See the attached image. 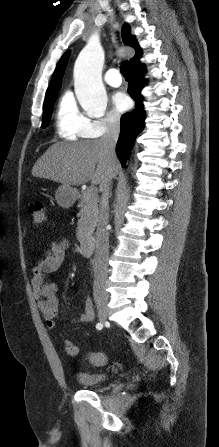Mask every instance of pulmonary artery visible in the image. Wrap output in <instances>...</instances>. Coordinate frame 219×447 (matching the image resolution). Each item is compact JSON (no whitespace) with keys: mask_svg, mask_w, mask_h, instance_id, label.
Here are the masks:
<instances>
[{"mask_svg":"<svg viewBox=\"0 0 219 447\" xmlns=\"http://www.w3.org/2000/svg\"><path fill=\"white\" fill-rule=\"evenodd\" d=\"M105 82L112 87H119L122 84V77L115 68L108 70L104 76Z\"/></svg>","mask_w":219,"mask_h":447,"instance_id":"obj_1","label":"pulmonary artery"}]
</instances>
